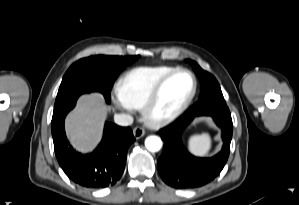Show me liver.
Here are the masks:
<instances>
[{
	"label": "liver",
	"instance_id": "1",
	"mask_svg": "<svg viewBox=\"0 0 299 205\" xmlns=\"http://www.w3.org/2000/svg\"><path fill=\"white\" fill-rule=\"evenodd\" d=\"M109 109L100 94H85L79 98L76 109L65 122L68 138L77 150L89 152L98 144Z\"/></svg>",
	"mask_w": 299,
	"mask_h": 205
}]
</instances>
